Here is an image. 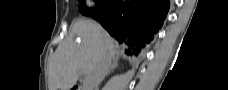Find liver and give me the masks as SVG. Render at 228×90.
<instances>
[{"label":"liver","mask_w":228,"mask_h":90,"mask_svg":"<svg viewBox=\"0 0 228 90\" xmlns=\"http://www.w3.org/2000/svg\"><path fill=\"white\" fill-rule=\"evenodd\" d=\"M115 52L113 39L98 23L77 20L50 61L49 90H70L77 82L78 71L87 76L99 59L106 56L111 61Z\"/></svg>","instance_id":"liver-1"}]
</instances>
